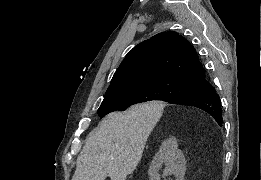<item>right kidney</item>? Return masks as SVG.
Returning <instances> with one entry per match:
<instances>
[{"instance_id": "obj_1", "label": "right kidney", "mask_w": 261, "mask_h": 180, "mask_svg": "<svg viewBox=\"0 0 261 180\" xmlns=\"http://www.w3.org/2000/svg\"><path fill=\"white\" fill-rule=\"evenodd\" d=\"M163 162L166 166L165 174H175L178 180H184L186 160L183 152L178 150V142L174 136L168 138L166 142H162L158 154L154 156L153 164L149 170L151 180H159L157 172Z\"/></svg>"}]
</instances>
